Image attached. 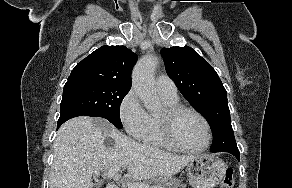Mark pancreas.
<instances>
[{"label":"pancreas","instance_id":"pancreas-1","mask_svg":"<svg viewBox=\"0 0 292 188\" xmlns=\"http://www.w3.org/2000/svg\"><path fill=\"white\" fill-rule=\"evenodd\" d=\"M154 183L159 186V188H186V184H183L181 180L174 177H159ZM148 184L149 183H146V185Z\"/></svg>","mask_w":292,"mask_h":188}]
</instances>
